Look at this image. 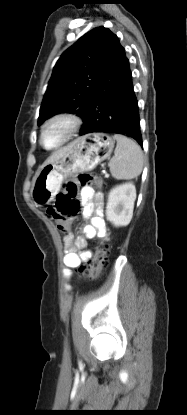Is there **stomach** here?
I'll use <instances>...</instances> for the list:
<instances>
[{
  "mask_svg": "<svg viewBox=\"0 0 187 415\" xmlns=\"http://www.w3.org/2000/svg\"><path fill=\"white\" fill-rule=\"evenodd\" d=\"M114 144V138L106 133L88 134L70 143L60 159L44 164L35 174L30 192L34 203L49 204L65 178L95 168L110 157Z\"/></svg>",
  "mask_w": 187,
  "mask_h": 415,
  "instance_id": "stomach-1",
  "label": "stomach"
}]
</instances>
